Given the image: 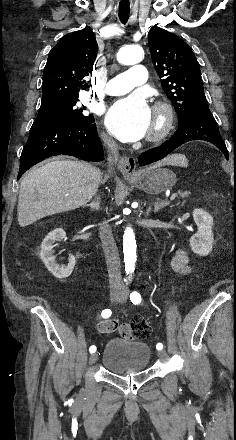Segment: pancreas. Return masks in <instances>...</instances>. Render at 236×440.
Here are the masks:
<instances>
[{
    "label": "pancreas",
    "mask_w": 236,
    "mask_h": 440,
    "mask_svg": "<svg viewBox=\"0 0 236 440\" xmlns=\"http://www.w3.org/2000/svg\"><path fill=\"white\" fill-rule=\"evenodd\" d=\"M188 195H189V192L180 193V196H181L182 198H185V197H187Z\"/></svg>",
    "instance_id": "cf45deb5"
}]
</instances>
